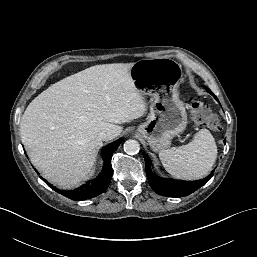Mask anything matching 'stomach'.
<instances>
[{"instance_id": "0dacf381", "label": "stomach", "mask_w": 257, "mask_h": 257, "mask_svg": "<svg viewBox=\"0 0 257 257\" xmlns=\"http://www.w3.org/2000/svg\"><path fill=\"white\" fill-rule=\"evenodd\" d=\"M129 73L136 87L151 96L150 113L137 134L153 151L165 150L187 126V113L178 91L182 67L169 58L142 59L133 63Z\"/></svg>"}]
</instances>
